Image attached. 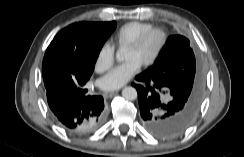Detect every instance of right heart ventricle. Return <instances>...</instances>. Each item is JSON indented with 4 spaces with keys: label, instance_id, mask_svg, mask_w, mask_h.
I'll list each match as a JSON object with an SVG mask.
<instances>
[{
    "label": "right heart ventricle",
    "instance_id": "obj_1",
    "mask_svg": "<svg viewBox=\"0 0 244 157\" xmlns=\"http://www.w3.org/2000/svg\"><path fill=\"white\" fill-rule=\"evenodd\" d=\"M152 28H154V26L146 22H127L115 32L114 41L118 47H126L140 34Z\"/></svg>",
    "mask_w": 244,
    "mask_h": 157
}]
</instances>
